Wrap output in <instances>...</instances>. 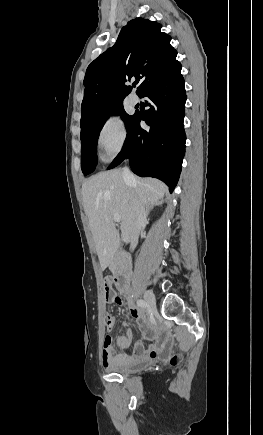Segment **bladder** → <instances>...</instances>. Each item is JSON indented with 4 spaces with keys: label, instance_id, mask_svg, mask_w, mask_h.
Returning <instances> with one entry per match:
<instances>
[{
    "label": "bladder",
    "instance_id": "1",
    "mask_svg": "<svg viewBox=\"0 0 263 435\" xmlns=\"http://www.w3.org/2000/svg\"><path fill=\"white\" fill-rule=\"evenodd\" d=\"M150 363H151L150 360H140V361L127 363L123 365H117L112 368V371L120 374H130L144 369Z\"/></svg>",
    "mask_w": 263,
    "mask_h": 435
}]
</instances>
